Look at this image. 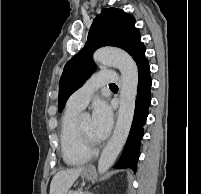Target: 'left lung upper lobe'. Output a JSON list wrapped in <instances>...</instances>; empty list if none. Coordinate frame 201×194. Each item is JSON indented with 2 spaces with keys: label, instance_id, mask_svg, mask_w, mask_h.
Wrapping results in <instances>:
<instances>
[{
  "label": "left lung upper lobe",
  "instance_id": "1",
  "mask_svg": "<svg viewBox=\"0 0 201 194\" xmlns=\"http://www.w3.org/2000/svg\"><path fill=\"white\" fill-rule=\"evenodd\" d=\"M141 40L131 14L118 8L103 9L94 19L84 48L64 66L60 78L58 110L61 112L70 95L82 86L94 71L93 52L104 46L119 47L131 56Z\"/></svg>",
  "mask_w": 201,
  "mask_h": 194
}]
</instances>
